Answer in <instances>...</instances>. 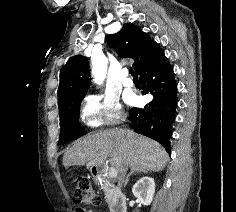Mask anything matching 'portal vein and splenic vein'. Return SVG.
Listing matches in <instances>:
<instances>
[{
    "label": "portal vein and splenic vein",
    "instance_id": "portal-vein-and-splenic-vein-1",
    "mask_svg": "<svg viewBox=\"0 0 236 212\" xmlns=\"http://www.w3.org/2000/svg\"><path fill=\"white\" fill-rule=\"evenodd\" d=\"M118 172L115 168L111 167L108 173V176L110 178H115L117 176Z\"/></svg>",
    "mask_w": 236,
    "mask_h": 212
}]
</instances>
